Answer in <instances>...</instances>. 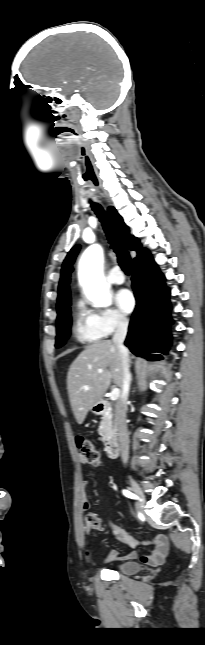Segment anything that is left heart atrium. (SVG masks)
Masks as SVG:
<instances>
[{
    "mask_svg": "<svg viewBox=\"0 0 205 645\" xmlns=\"http://www.w3.org/2000/svg\"><path fill=\"white\" fill-rule=\"evenodd\" d=\"M116 302L119 308L125 313H130L135 306L134 296L127 289H122L116 294Z\"/></svg>",
    "mask_w": 205,
    "mask_h": 645,
    "instance_id": "39dd6f15",
    "label": "left heart atrium"
}]
</instances>
